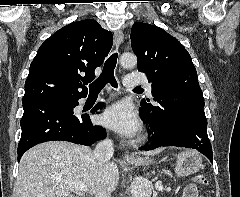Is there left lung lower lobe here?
<instances>
[{
  "label": "left lung lower lobe",
  "mask_w": 240,
  "mask_h": 197,
  "mask_svg": "<svg viewBox=\"0 0 240 197\" xmlns=\"http://www.w3.org/2000/svg\"><path fill=\"white\" fill-rule=\"evenodd\" d=\"M140 116L151 128V144L144 150L162 146L193 148L213 163L212 147L207 135L204 98L182 95L171 106L157 107L151 113L140 110Z\"/></svg>",
  "instance_id": "left-lung-lower-lobe-1"
}]
</instances>
